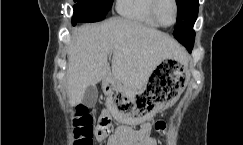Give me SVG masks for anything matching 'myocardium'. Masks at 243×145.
<instances>
[{
    "mask_svg": "<svg viewBox=\"0 0 243 145\" xmlns=\"http://www.w3.org/2000/svg\"><path fill=\"white\" fill-rule=\"evenodd\" d=\"M161 0H152V4H151V11L152 14L155 18V20L163 27H170L173 26L176 22H177V18H178V5H177V1L176 0H171L173 7H174V19L173 22L171 24H166L164 23L159 15V5H160Z\"/></svg>",
    "mask_w": 243,
    "mask_h": 145,
    "instance_id": "obj_1",
    "label": "myocardium"
}]
</instances>
